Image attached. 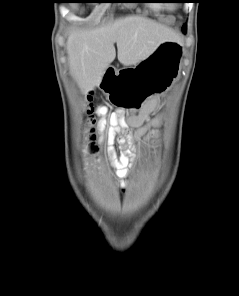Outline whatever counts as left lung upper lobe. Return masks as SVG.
Masks as SVG:
<instances>
[{"label": "left lung upper lobe", "instance_id": "obj_1", "mask_svg": "<svg viewBox=\"0 0 239 296\" xmlns=\"http://www.w3.org/2000/svg\"><path fill=\"white\" fill-rule=\"evenodd\" d=\"M182 30H185V27H182Z\"/></svg>", "mask_w": 239, "mask_h": 296}]
</instances>
